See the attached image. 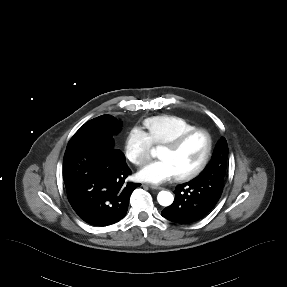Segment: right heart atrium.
<instances>
[{"label":"right heart atrium","instance_id":"1","mask_svg":"<svg viewBox=\"0 0 287 287\" xmlns=\"http://www.w3.org/2000/svg\"><path fill=\"white\" fill-rule=\"evenodd\" d=\"M152 143L144 131L132 128L124 141L126 159L136 166H143L151 158Z\"/></svg>","mask_w":287,"mask_h":287}]
</instances>
